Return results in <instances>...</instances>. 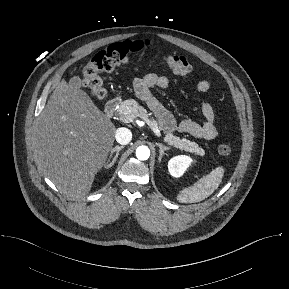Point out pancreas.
I'll use <instances>...</instances> for the list:
<instances>
[{
	"mask_svg": "<svg viewBox=\"0 0 289 289\" xmlns=\"http://www.w3.org/2000/svg\"><path fill=\"white\" fill-rule=\"evenodd\" d=\"M118 114L121 117L132 116V117H140V118H149L152 114L149 113L144 107L140 106L138 102L133 99H128L123 101L120 104V108L118 109ZM156 123V121L154 120ZM165 137L164 140L169 145L174 146L180 150H184L186 152L194 153L195 155L204 156V150L198 146L197 143L187 140L185 138L181 139L180 137L174 136L172 133L164 132Z\"/></svg>",
	"mask_w": 289,
	"mask_h": 289,
	"instance_id": "cf45deb5",
	"label": "pancreas"
}]
</instances>
